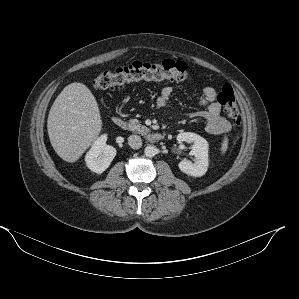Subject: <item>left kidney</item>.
Segmentation results:
<instances>
[{"label":"left kidney","instance_id":"1","mask_svg":"<svg viewBox=\"0 0 299 299\" xmlns=\"http://www.w3.org/2000/svg\"><path fill=\"white\" fill-rule=\"evenodd\" d=\"M178 142H188L193 143L191 155L195 156L194 162L188 161L186 159L182 160L178 167L179 169L190 176L201 177L208 169V142L201 137L192 132H182L177 135Z\"/></svg>","mask_w":299,"mask_h":299}]
</instances>
